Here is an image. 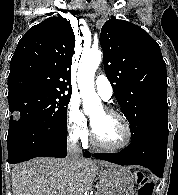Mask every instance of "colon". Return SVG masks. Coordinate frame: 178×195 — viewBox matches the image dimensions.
<instances>
[{
	"label": "colon",
	"mask_w": 178,
	"mask_h": 195,
	"mask_svg": "<svg viewBox=\"0 0 178 195\" xmlns=\"http://www.w3.org/2000/svg\"><path fill=\"white\" fill-rule=\"evenodd\" d=\"M138 180V194L137 195H152L153 185L150 180L143 176L142 173L137 174Z\"/></svg>",
	"instance_id": "colon-1"
}]
</instances>
